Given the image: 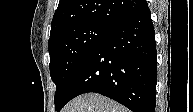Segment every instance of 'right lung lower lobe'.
Segmentation results:
<instances>
[{
    "instance_id": "1",
    "label": "right lung lower lobe",
    "mask_w": 193,
    "mask_h": 112,
    "mask_svg": "<svg viewBox=\"0 0 193 112\" xmlns=\"http://www.w3.org/2000/svg\"><path fill=\"white\" fill-rule=\"evenodd\" d=\"M156 83L155 33L146 5L95 46L77 72L64 105L80 94L96 92L133 112H155Z\"/></svg>"
}]
</instances>
